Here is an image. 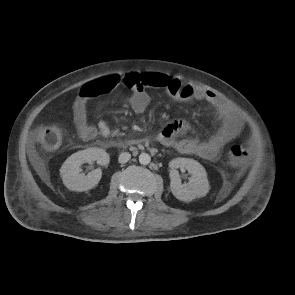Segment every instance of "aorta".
Returning a JSON list of instances; mask_svg holds the SVG:
<instances>
[{
  "label": "aorta",
  "instance_id": "obj_1",
  "mask_svg": "<svg viewBox=\"0 0 295 295\" xmlns=\"http://www.w3.org/2000/svg\"><path fill=\"white\" fill-rule=\"evenodd\" d=\"M150 161H151V157H150L149 154H147V153H141L139 155V162H140V164L147 165V164L150 163Z\"/></svg>",
  "mask_w": 295,
  "mask_h": 295
}]
</instances>
